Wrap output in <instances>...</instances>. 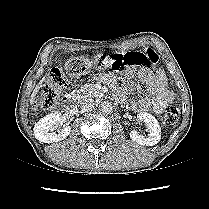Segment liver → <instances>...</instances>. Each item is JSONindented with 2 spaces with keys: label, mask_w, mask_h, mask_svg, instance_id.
<instances>
[{
  "label": "liver",
  "mask_w": 209,
  "mask_h": 209,
  "mask_svg": "<svg viewBox=\"0 0 209 209\" xmlns=\"http://www.w3.org/2000/svg\"><path fill=\"white\" fill-rule=\"evenodd\" d=\"M47 77H48V74H46V75L42 78V80L36 85L35 90H34L32 96H31V100H30V103H31V104L34 103V99L36 98V95H37L38 91L42 88V86H43L42 83L46 81V78H47Z\"/></svg>",
  "instance_id": "obj_1"
}]
</instances>
